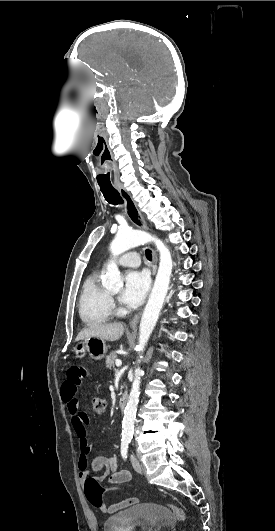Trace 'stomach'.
I'll list each match as a JSON object with an SVG mask.
<instances>
[{
    "mask_svg": "<svg viewBox=\"0 0 275 531\" xmlns=\"http://www.w3.org/2000/svg\"><path fill=\"white\" fill-rule=\"evenodd\" d=\"M107 353V347L104 339L99 337H89V339H83L75 345L74 350H68V361H83L85 355H89L91 359L100 361L104 359Z\"/></svg>",
    "mask_w": 275,
    "mask_h": 531,
    "instance_id": "stomach-1",
    "label": "stomach"
}]
</instances>
